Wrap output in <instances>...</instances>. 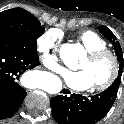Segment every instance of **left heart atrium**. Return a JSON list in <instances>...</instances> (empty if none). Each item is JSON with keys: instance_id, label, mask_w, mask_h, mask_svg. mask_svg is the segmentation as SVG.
<instances>
[{"instance_id": "left-heart-atrium-1", "label": "left heart atrium", "mask_w": 124, "mask_h": 124, "mask_svg": "<svg viewBox=\"0 0 124 124\" xmlns=\"http://www.w3.org/2000/svg\"><path fill=\"white\" fill-rule=\"evenodd\" d=\"M62 77L65 83L75 90H87L93 86L90 74L86 70L70 71L64 70Z\"/></svg>"}]
</instances>
